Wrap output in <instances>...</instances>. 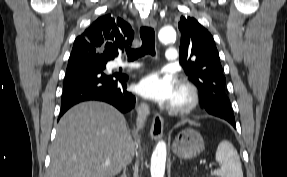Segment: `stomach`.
Wrapping results in <instances>:
<instances>
[{"instance_id": "stomach-1", "label": "stomach", "mask_w": 287, "mask_h": 177, "mask_svg": "<svg viewBox=\"0 0 287 177\" xmlns=\"http://www.w3.org/2000/svg\"><path fill=\"white\" fill-rule=\"evenodd\" d=\"M204 140L192 128L180 131L173 142V153L181 159H192L204 150Z\"/></svg>"}]
</instances>
